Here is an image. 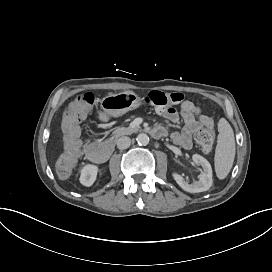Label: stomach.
Listing matches in <instances>:
<instances>
[{
  "label": "stomach",
  "instance_id": "stomach-1",
  "mask_svg": "<svg viewBox=\"0 0 272 272\" xmlns=\"http://www.w3.org/2000/svg\"><path fill=\"white\" fill-rule=\"evenodd\" d=\"M139 103L140 99L133 92L127 91L105 97L101 106L109 115L120 116L137 107Z\"/></svg>",
  "mask_w": 272,
  "mask_h": 272
}]
</instances>
